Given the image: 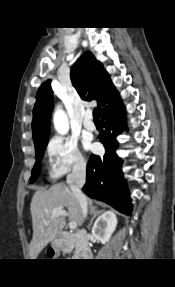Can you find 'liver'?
I'll return each instance as SVG.
<instances>
[{"label": "liver", "instance_id": "1", "mask_svg": "<svg viewBox=\"0 0 175 287\" xmlns=\"http://www.w3.org/2000/svg\"><path fill=\"white\" fill-rule=\"evenodd\" d=\"M88 203L92 213L95 207L91 200ZM54 209H67L70 222H76L79 226L83 224L84 216L80 205L66 184L59 183L48 190L36 191L30 204L33 225V237L29 245L30 259H36L43 248L61 233L66 224L65 216L52 217L51 212Z\"/></svg>", "mask_w": 175, "mask_h": 287}]
</instances>
